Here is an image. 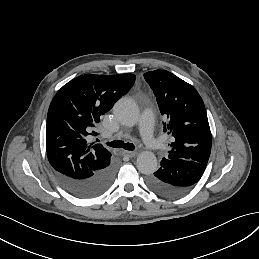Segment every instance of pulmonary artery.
I'll use <instances>...</instances> for the list:
<instances>
[{"instance_id": "e3ab8cb5", "label": "pulmonary artery", "mask_w": 259, "mask_h": 259, "mask_svg": "<svg viewBox=\"0 0 259 259\" xmlns=\"http://www.w3.org/2000/svg\"><path fill=\"white\" fill-rule=\"evenodd\" d=\"M153 122H154V116L152 113L143 111L135 120H133L130 125L134 124H143L146 126L147 132L151 133L152 132V127H153Z\"/></svg>"}]
</instances>
